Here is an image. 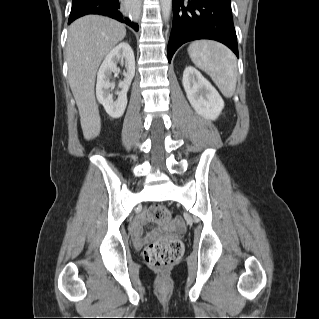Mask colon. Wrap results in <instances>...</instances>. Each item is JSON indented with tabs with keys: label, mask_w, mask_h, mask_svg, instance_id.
I'll list each match as a JSON object with an SVG mask.
<instances>
[{
	"label": "colon",
	"mask_w": 319,
	"mask_h": 319,
	"mask_svg": "<svg viewBox=\"0 0 319 319\" xmlns=\"http://www.w3.org/2000/svg\"><path fill=\"white\" fill-rule=\"evenodd\" d=\"M148 217L158 222L171 219V211L164 205H154L148 211ZM184 245L175 235H166L147 245L143 251L146 264L156 269H166L173 266L182 256Z\"/></svg>",
	"instance_id": "obj_1"
}]
</instances>
